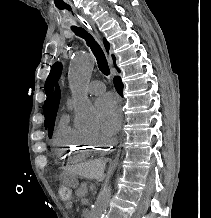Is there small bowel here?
Wrapping results in <instances>:
<instances>
[{
  "label": "small bowel",
  "instance_id": "c3829d8e",
  "mask_svg": "<svg viewBox=\"0 0 211 218\" xmlns=\"http://www.w3.org/2000/svg\"><path fill=\"white\" fill-rule=\"evenodd\" d=\"M72 205H73V204H72V202H71V201H69V202H66V207H67V208H71V207H72Z\"/></svg>",
  "mask_w": 211,
  "mask_h": 218
}]
</instances>
